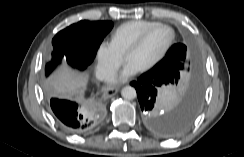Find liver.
<instances>
[{
    "label": "liver",
    "mask_w": 244,
    "mask_h": 157,
    "mask_svg": "<svg viewBox=\"0 0 244 157\" xmlns=\"http://www.w3.org/2000/svg\"><path fill=\"white\" fill-rule=\"evenodd\" d=\"M88 82V74H79L63 66L53 78L52 85L55 92L62 97L71 98L82 95Z\"/></svg>",
    "instance_id": "obj_1"
}]
</instances>
